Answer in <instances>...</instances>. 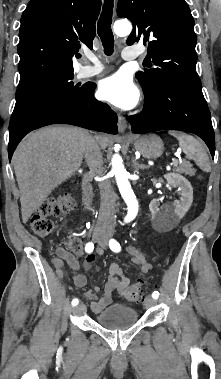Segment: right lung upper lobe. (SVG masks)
I'll return each mask as SVG.
<instances>
[{
    "mask_svg": "<svg viewBox=\"0 0 221 379\" xmlns=\"http://www.w3.org/2000/svg\"><path fill=\"white\" fill-rule=\"evenodd\" d=\"M100 6L101 0H30L19 31L20 81L73 70L74 54L92 48Z\"/></svg>",
    "mask_w": 221,
    "mask_h": 379,
    "instance_id": "obj_1",
    "label": "right lung upper lobe"
}]
</instances>
